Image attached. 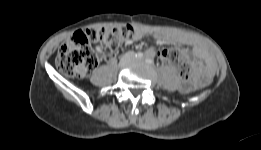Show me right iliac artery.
Wrapping results in <instances>:
<instances>
[{
    "label": "right iliac artery",
    "mask_w": 261,
    "mask_h": 150,
    "mask_svg": "<svg viewBox=\"0 0 261 150\" xmlns=\"http://www.w3.org/2000/svg\"><path fill=\"white\" fill-rule=\"evenodd\" d=\"M136 57H137V58H142V57H143V53H142V52H138V53L136 54Z\"/></svg>",
    "instance_id": "obj_1"
}]
</instances>
